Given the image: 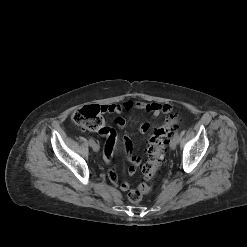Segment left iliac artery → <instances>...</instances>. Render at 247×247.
<instances>
[{
	"label": "left iliac artery",
	"mask_w": 247,
	"mask_h": 247,
	"mask_svg": "<svg viewBox=\"0 0 247 247\" xmlns=\"http://www.w3.org/2000/svg\"><path fill=\"white\" fill-rule=\"evenodd\" d=\"M182 133H184V132H182ZM174 137L177 139V141H179V133H178V131H176L174 133Z\"/></svg>",
	"instance_id": "left-iliac-artery-1"
}]
</instances>
